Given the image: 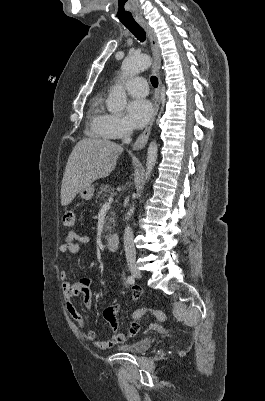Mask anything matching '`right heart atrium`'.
Instances as JSON below:
<instances>
[{
	"label": "right heart atrium",
	"mask_w": 265,
	"mask_h": 401,
	"mask_svg": "<svg viewBox=\"0 0 265 401\" xmlns=\"http://www.w3.org/2000/svg\"><path fill=\"white\" fill-rule=\"evenodd\" d=\"M106 125L111 134L117 138L127 137L133 131L132 126L126 119L116 117L114 114L108 115Z\"/></svg>",
	"instance_id": "1"
}]
</instances>
